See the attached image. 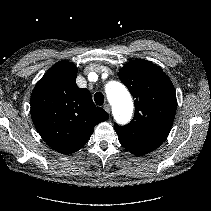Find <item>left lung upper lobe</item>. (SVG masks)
I'll use <instances>...</instances> for the list:
<instances>
[{
	"instance_id": "5c2ea615",
	"label": "left lung upper lobe",
	"mask_w": 211,
	"mask_h": 211,
	"mask_svg": "<svg viewBox=\"0 0 211 211\" xmlns=\"http://www.w3.org/2000/svg\"><path fill=\"white\" fill-rule=\"evenodd\" d=\"M119 78L135 101L133 120L125 126L115 124L120 140L147 146H160L167 138L176 113L174 86L161 68L147 60L124 65Z\"/></svg>"
}]
</instances>
